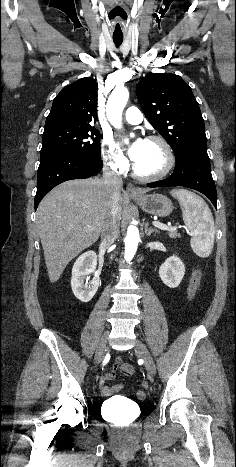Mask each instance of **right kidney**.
Masks as SVG:
<instances>
[{
  "mask_svg": "<svg viewBox=\"0 0 236 467\" xmlns=\"http://www.w3.org/2000/svg\"><path fill=\"white\" fill-rule=\"evenodd\" d=\"M96 266L97 255L92 250L80 255L73 265L71 287L75 297L82 302H89L99 287L100 278L96 272ZM90 274H93L91 283L84 284Z\"/></svg>",
  "mask_w": 236,
  "mask_h": 467,
  "instance_id": "obj_1",
  "label": "right kidney"
}]
</instances>
